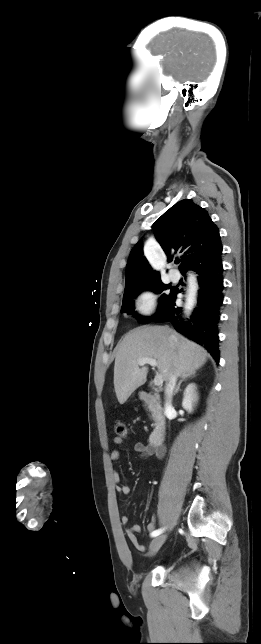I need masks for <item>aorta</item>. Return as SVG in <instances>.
I'll return each mask as SVG.
<instances>
[{"mask_svg":"<svg viewBox=\"0 0 261 644\" xmlns=\"http://www.w3.org/2000/svg\"><path fill=\"white\" fill-rule=\"evenodd\" d=\"M195 283L193 277L189 278V288H188V297H187V304H186V309H190L191 306L193 305L194 302V296H195Z\"/></svg>","mask_w":261,"mask_h":644,"instance_id":"1","label":"aorta"}]
</instances>
